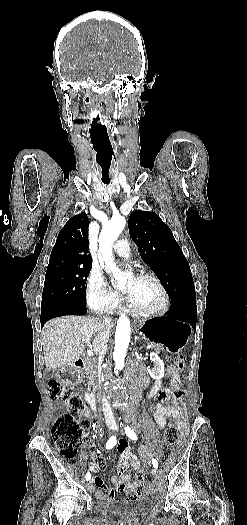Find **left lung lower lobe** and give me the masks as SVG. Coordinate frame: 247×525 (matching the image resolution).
<instances>
[{
	"label": "left lung lower lobe",
	"instance_id": "0a47b994",
	"mask_svg": "<svg viewBox=\"0 0 247 525\" xmlns=\"http://www.w3.org/2000/svg\"><path fill=\"white\" fill-rule=\"evenodd\" d=\"M165 319L182 320L196 328L197 306L196 299H182L171 302V308Z\"/></svg>",
	"mask_w": 247,
	"mask_h": 525
}]
</instances>
